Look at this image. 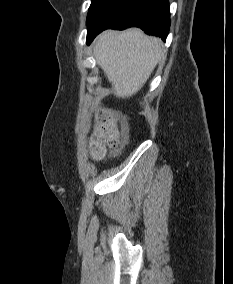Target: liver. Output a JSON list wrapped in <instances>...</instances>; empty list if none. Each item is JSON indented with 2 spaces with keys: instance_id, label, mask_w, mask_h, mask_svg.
<instances>
[{
  "instance_id": "6515ba94",
  "label": "liver",
  "mask_w": 233,
  "mask_h": 284,
  "mask_svg": "<svg viewBox=\"0 0 233 284\" xmlns=\"http://www.w3.org/2000/svg\"><path fill=\"white\" fill-rule=\"evenodd\" d=\"M162 55V41L136 28L123 32L107 30L98 36L94 45L97 63L119 98L137 93Z\"/></svg>"
}]
</instances>
